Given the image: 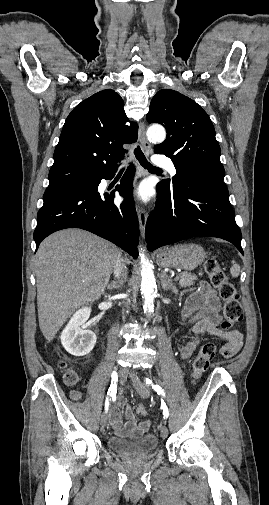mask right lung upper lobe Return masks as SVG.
<instances>
[{
    "label": "right lung upper lobe",
    "mask_w": 269,
    "mask_h": 505,
    "mask_svg": "<svg viewBox=\"0 0 269 505\" xmlns=\"http://www.w3.org/2000/svg\"><path fill=\"white\" fill-rule=\"evenodd\" d=\"M124 102L115 91L95 93L67 117L54 151L46 190L73 186L118 167L127 152L123 144L137 140L138 125L126 126Z\"/></svg>",
    "instance_id": "1"
}]
</instances>
